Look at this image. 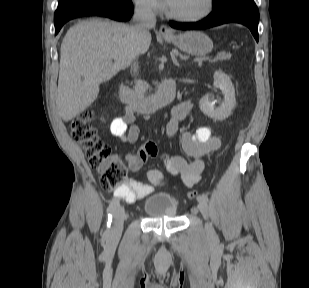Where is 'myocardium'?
<instances>
[{"instance_id": "obj_1", "label": "myocardium", "mask_w": 309, "mask_h": 288, "mask_svg": "<svg viewBox=\"0 0 309 288\" xmlns=\"http://www.w3.org/2000/svg\"><path fill=\"white\" fill-rule=\"evenodd\" d=\"M213 8H214V0H206L205 10L198 15L185 16V15L177 14V13H174L173 11H171L168 6L166 7V13L169 17H171L175 20H178V21L198 22V21H201V20L207 18L212 13Z\"/></svg>"}]
</instances>
